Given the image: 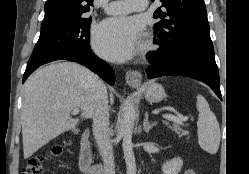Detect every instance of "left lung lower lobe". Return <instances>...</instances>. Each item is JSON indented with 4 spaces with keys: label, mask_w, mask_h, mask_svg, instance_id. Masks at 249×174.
<instances>
[{
    "label": "left lung lower lobe",
    "mask_w": 249,
    "mask_h": 174,
    "mask_svg": "<svg viewBox=\"0 0 249 174\" xmlns=\"http://www.w3.org/2000/svg\"><path fill=\"white\" fill-rule=\"evenodd\" d=\"M151 63L147 69L148 78L161 76H185L206 83L222 100L219 72L215 62L213 46L193 49L170 57L163 50L148 56Z\"/></svg>",
    "instance_id": "1"
}]
</instances>
